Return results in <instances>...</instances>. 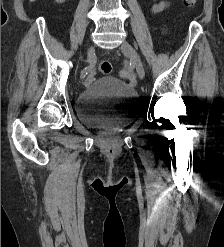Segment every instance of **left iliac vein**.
I'll use <instances>...</instances> for the list:
<instances>
[{
    "mask_svg": "<svg viewBox=\"0 0 224 247\" xmlns=\"http://www.w3.org/2000/svg\"><path fill=\"white\" fill-rule=\"evenodd\" d=\"M120 49L122 53L128 58H130L132 63L135 65L138 76L141 79H144L145 70L137 51L127 41H124L121 44Z\"/></svg>",
    "mask_w": 224,
    "mask_h": 247,
    "instance_id": "left-iliac-vein-1",
    "label": "left iliac vein"
}]
</instances>
